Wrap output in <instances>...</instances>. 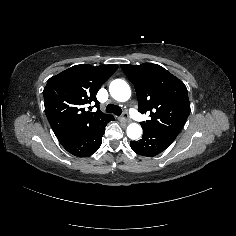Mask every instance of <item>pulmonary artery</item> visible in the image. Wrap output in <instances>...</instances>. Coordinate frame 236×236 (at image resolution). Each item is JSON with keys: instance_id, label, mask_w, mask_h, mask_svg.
I'll list each match as a JSON object with an SVG mask.
<instances>
[{"instance_id": "e3ab8cb5", "label": "pulmonary artery", "mask_w": 236, "mask_h": 236, "mask_svg": "<svg viewBox=\"0 0 236 236\" xmlns=\"http://www.w3.org/2000/svg\"><path fill=\"white\" fill-rule=\"evenodd\" d=\"M129 113L134 116V120L138 121L139 123H145L146 117L142 116L140 113H138V110L135 107L129 108Z\"/></svg>"}]
</instances>
